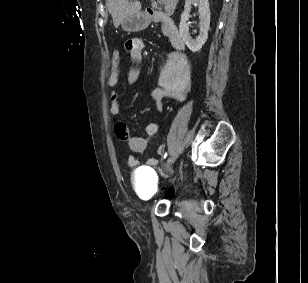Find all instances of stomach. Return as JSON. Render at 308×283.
I'll use <instances>...</instances> for the list:
<instances>
[{"label": "stomach", "instance_id": "obj_1", "mask_svg": "<svg viewBox=\"0 0 308 283\" xmlns=\"http://www.w3.org/2000/svg\"><path fill=\"white\" fill-rule=\"evenodd\" d=\"M149 25V19L144 13H137L125 18L121 22V27L126 32H137L144 30Z\"/></svg>", "mask_w": 308, "mask_h": 283}]
</instances>
